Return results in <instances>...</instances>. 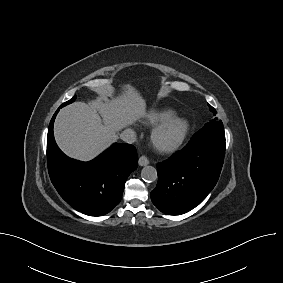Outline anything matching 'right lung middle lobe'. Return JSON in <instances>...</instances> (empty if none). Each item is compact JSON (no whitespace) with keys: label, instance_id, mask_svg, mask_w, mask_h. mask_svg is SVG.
I'll return each mask as SVG.
<instances>
[{"label":"right lung middle lobe","instance_id":"1","mask_svg":"<svg viewBox=\"0 0 283 283\" xmlns=\"http://www.w3.org/2000/svg\"><path fill=\"white\" fill-rule=\"evenodd\" d=\"M75 99H76V96L72 97L69 101L63 103V104L60 106V108L63 107V106H65V105H67V104H70V103L74 102Z\"/></svg>","mask_w":283,"mask_h":283}]
</instances>
